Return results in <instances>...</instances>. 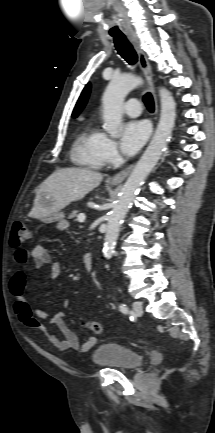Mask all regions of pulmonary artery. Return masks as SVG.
I'll return each instance as SVG.
<instances>
[{
	"mask_svg": "<svg viewBox=\"0 0 215 433\" xmlns=\"http://www.w3.org/2000/svg\"><path fill=\"white\" fill-rule=\"evenodd\" d=\"M123 108L125 113L132 117L138 116L141 112V104L136 98L126 101Z\"/></svg>",
	"mask_w": 215,
	"mask_h": 433,
	"instance_id": "1",
	"label": "pulmonary artery"
}]
</instances>
